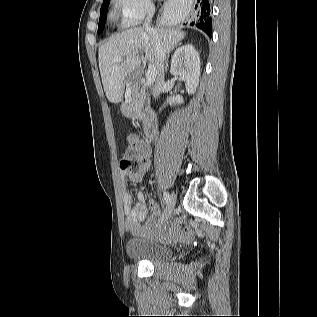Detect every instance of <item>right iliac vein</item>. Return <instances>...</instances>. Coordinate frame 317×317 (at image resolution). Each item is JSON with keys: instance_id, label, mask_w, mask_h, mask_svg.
<instances>
[{"instance_id": "1", "label": "right iliac vein", "mask_w": 317, "mask_h": 317, "mask_svg": "<svg viewBox=\"0 0 317 317\" xmlns=\"http://www.w3.org/2000/svg\"><path fill=\"white\" fill-rule=\"evenodd\" d=\"M175 203H176V197H175V194L173 193L170 197V200H169L167 207L164 211V214L162 216V221H165L170 217V215L174 209Z\"/></svg>"}]
</instances>
